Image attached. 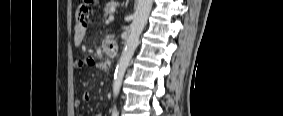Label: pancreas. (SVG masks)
Segmentation results:
<instances>
[{"instance_id":"obj_1","label":"pancreas","mask_w":283,"mask_h":116,"mask_svg":"<svg viewBox=\"0 0 283 116\" xmlns=\"http://www.w3.org/2000/svg\"><path fill=\"white\" fill-rule=\"evenodd\" d=\"M117 6H119V3L117 1H110L104 9V18H107L109 15H112V8H115Z\"/></svg>"}]
</instances>
